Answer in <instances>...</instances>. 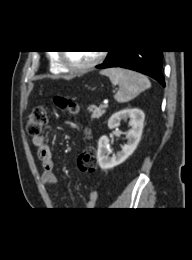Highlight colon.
I'll use <instances>...</instances> for the list:
<instances>
[{
    "instance_id": "5ec220e1",
    "label": "colon",
    "mask_w": 192,
    "mask_h": 260,
    "mask_svg": "<svg viewBox=\"0 0 192 260\" xmlns=\"http://www.w3.org/2000/svg\"><path fill=\"white\" fill-rule=\"evenodd\" d=\"M54 103L60 109L66 110L69 113H76L77 106L74 102L66 97L58 96L54 99ZM47 124V114L43 107L35 108L27 119L26 130L27 133L33 138L40 136L43 128ZM78 168L82 172L91 173L95 170L97 164V158L94 148L87 147L80 154L78 158Z\"/></svg>"
}]
</instances>
